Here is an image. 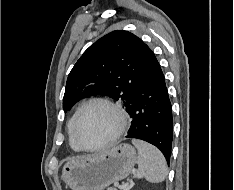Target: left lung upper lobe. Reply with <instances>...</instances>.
I'll return each instance as SVG.
<instances>
[{
	"label": "left lung upper lobe",
	"mask_w": 234,
	"mask_h": 190,
	"mask_svg": "<svg viewBox=\"0 0 234 190\" xmlns=\"http://www.w3.org/2000/svg\"><path fill=\"white\" fill-rule=\"evenodd\" d=\"M143 41L116 30L93 43L68 75L63 109L90 95H107L126 107L142 79Z\"/></svg>",
	"instance_id": "obj_1"
}]
</instances>
